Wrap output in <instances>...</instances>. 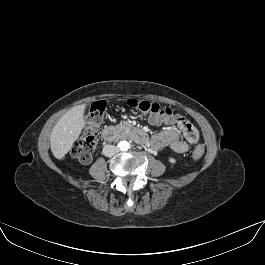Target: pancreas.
Returning a JSON list of instances; mask_svg holds the SVG:
<instances>
[{
    "instance_id": "obj_1",
    "label": "pancreas",
    "mask_w": 265,
    "mask_h": 265,
    "mask_svg": "<svg viewBox=\"0 0 265 265\" xmlns=\"http://www.w3.org/2000/svg\"><path fill=\"white\" fill-rule=\"evenodd\" d=\"M120 126H129V124L128 123H124L122 125L117 126V128L120 127Z\"/></svg>"
}]
</instances>
